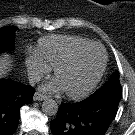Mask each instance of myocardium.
Instances as JSON below:
<instances>
[{
	"mask_svg": "<svg viewBox=\"0 0 135 135\" xmlns=\"http://www.w3.org/2000/svg\"><path fill=\"white\" fill-rule=\"evenodd\" d=\"M93 46H97V47L101 48V50L103 52L102 66H101L99 72L97 73V75L94 77V79L83 89H81L78 92L65 91L66 95L70 98L77 99V98L84 97L97 86V84L102 79L103 74L106 70L107 61H108L107 51L102 44H100L98 42H92V43H89V44H86V45H83V46L77 48L76 50H74L72 53H70L67 57H65L64 59L59 61L54 66V75L57 76V74L59 73V71L61 69L72 64L84 51H86L87 49H89L90 47H93Z\"/></svg>",
	"mask_w": 135,
	"mask_h": 135,
	"instance_id": "obj_1",
	"label": "myocardium"
}]
</instances>
